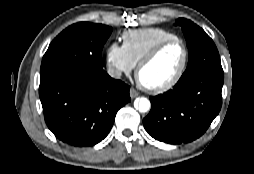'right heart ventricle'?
<instances>
[{
  "mask_svg": "<svg viewBox=\"0 0 254 174\" xmlns=\"http://www.w3.org/2000/svg\"><path fill=\"white\" fill-rule=\"evenodd\" d=\"M177 37L173 32L159 27L140 28L122 34L123 48L134 65L158 43Z\"/></svg>",
  "mask_w": 254,
  "mask_h": 174,
  "instance_id": "right-heart-ventricle-1",
  "label": "right heart ventricle"
}]
</instances>
